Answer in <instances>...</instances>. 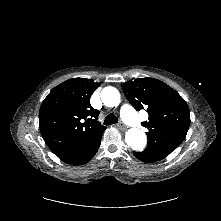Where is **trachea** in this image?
<instances>
[{
	"label": "trachea",
	"mask_w": 221,
	"mask_h": 221,
	"mask_svg": "<svg viewBox=\"0 0 221 221\" xmlns=\"http://www.w3.org/2000/svg\"><path fill=\"white\" fill-rule=\"evenodd\" d=\"M115 123H118V118L114 114H109L106 116L103 124L111 125Z\"/></svg>",
	"instance_id": "3493384b"
}]
</instances>
